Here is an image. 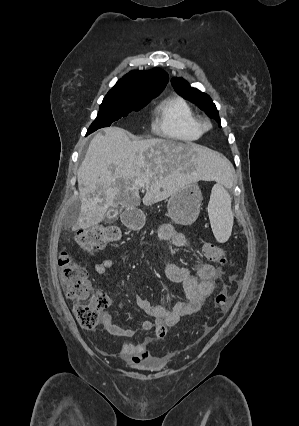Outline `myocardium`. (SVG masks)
I'll return each instance as SVG.
<instances>
[{
  "label": "myocardium",
  "instance_id": "1",
  "mask_svg": "<svg viewBox=\"0 0 299 426\" xmlns=\"http://www.w3.org/2000/svg\"><path fill=\"white\" fill-rule=\"evenodd\" d=\"M199 127L202 132H206L212 128V124L208 119H203L199 121Z\"/></svg>",
  "mask_w": 299,
  "mask_h": 426
}]
</instances>
